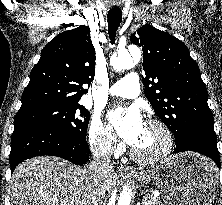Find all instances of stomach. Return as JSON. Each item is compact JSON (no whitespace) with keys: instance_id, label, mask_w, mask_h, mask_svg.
Returning a JSON list of instances; mask_svg holds the SVG:
<instances>
[{"instance_id":"stomach-1","label":"stomach","mask_w":222,"mask_h":205,"mask_svg":"<svg viewBox=\"0 0 222 205\" xmlns=\"http://www.w3.org/2000/svg\"><path fill=\"white\" fill-rule=\"evenodd\" d=\"M138 180L155 184L166 205H211L218 184L212 162L195 153L170 156Z\"/></svg>"}]
</instances>
